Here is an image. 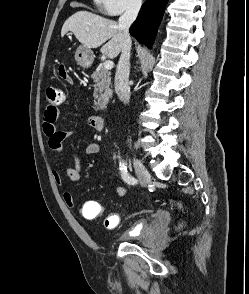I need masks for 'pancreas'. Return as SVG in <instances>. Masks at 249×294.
<instances>
[{
    "label": "pancreas",
    "instance_id": "obj_1",
    "mask_svg": "<svg viewBox=\"0 0 249 294\" xmlns=\"http://www.w3.org/2000/svg\"><path fill=\"white\" fill-rule=\"evenodd\" d=\"M111 73L104 66L99 67L91 78L94 81V108L96 111L106 108L107 103L112 97Z\"/></svg>",
    "mask_w": 249,
    "mask_h": 294
}]
</instances>
